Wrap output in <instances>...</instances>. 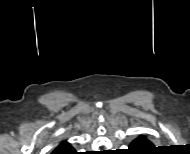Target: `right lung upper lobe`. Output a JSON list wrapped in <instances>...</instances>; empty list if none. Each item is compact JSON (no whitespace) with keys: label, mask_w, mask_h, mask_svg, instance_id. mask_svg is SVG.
I'll use <instances>...</instances> for the list:
<instances>
[{"label":"right lung upper lobe","mask_w":190,"mask_h":154,"mask_svg":"<svg viewBox=\"0 0 190 154\" xmlns=\"http://www.w3.org/2000/svg\"><path fill=\"white\" fill-rule=\"evenodd\" d=\"M73 149L68 142H62L58 145V147L53 151L52 154H58L61 151L71 150Z\"/></svg>","instance_id":"right-lung-upper-lobe-1"}]
</instances>
